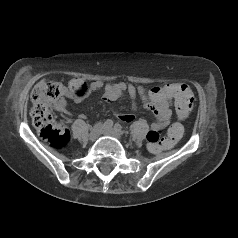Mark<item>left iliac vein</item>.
Returning <instances> with one entry per match:
<instances>
[{
  "label": "left iliac vein",
  "mask_w": 238,
  "mask_h": 238,
  "mask_svg": "<svg viewBox=\"0 0 238 238\" xmlns=\"http://www.w3.org/2000/svg\"><path fill=\"white\" fill-rule=\"evenodd\" d=\"M104 135L112 136L121 139V134L113 128H105L102 132Z\"/></svg>",
  "instance_id": "1"
}]
</instances>
